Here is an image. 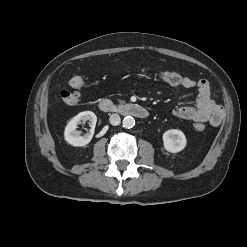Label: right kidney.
Returning <instances> with one entry per match:
<instances>
[{
  "instance_id": "right-kidney-1",
  "label": "right kidney",
  "mask_w": 247,
  "mask_h": 247,
  "mask_svg": "<svg viewBox=\"0 0 247 247\" xmlns=\"http://www.w3.org/2000/svg\"><path fill=\"white\" fill-rule=\"evenodd\" d=\"M89 121L91 130L89 134L80 135L76 131L77 125L80 121ZM97 117L92 111H83L73 117L65 127L64 138L66 142L76 147H83L90 143L93 137L94 128L96 126Z\"/></svg>"
}]
</instances>
